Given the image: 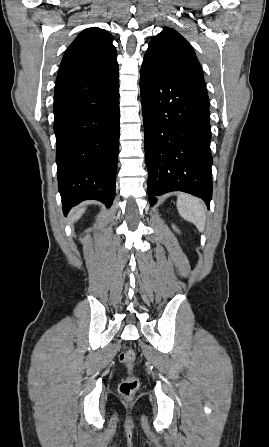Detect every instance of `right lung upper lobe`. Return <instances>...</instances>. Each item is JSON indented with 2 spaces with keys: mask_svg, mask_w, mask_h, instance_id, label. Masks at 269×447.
I'll list each match as a JSON object with an SVG mask.
<instances>
[{
  "mask_svg": "<svg viewBox=\"0 0 269 447\" xmlns=\"http://www.w3.org/2000/svg\"><path fill=\"white\" fill-rule=\"evenodd\" d=\"M111 34L98 27L85 29L66 50L56 83L93 78L118 68Z\"/></svg>",
  "mask_w": 269,
  "mask_h": 447,
  "instance_id": "cb5924a9",
  "label": "right lung upper lobe"
}]
</instances>
